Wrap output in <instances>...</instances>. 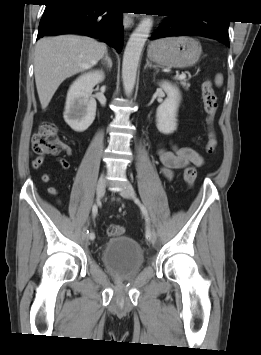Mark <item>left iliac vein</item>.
<instances>
[{"label": "left iliac vein", "instance_id": "obj_1", "mask_svg": "<svg viewBox=\"0 0 261 355\" xmlns=\"http://www.w3.org/2000/svg\"><path fill=\"white\" fill-rule=\"evenodd\" d=\"M119 194L127 199L134 198V190L129 182H126L125 187L119 191ZM157 240L156 234L153 233L151 242L154 244Z\"/></svg>", "mask_w": 261, "mask_h": 355}]
</instances>
